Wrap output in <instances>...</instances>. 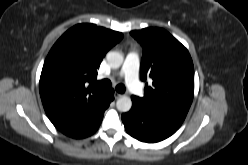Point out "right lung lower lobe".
<instances>
[{"mask_svg":"<svg viewBox=\"0 0 248 165\" xmlns=\"http://www.w3.org/2000/svg\"><path fill=\"white\" fill-rule=\"evenodd\" d=\"M114 99V90L108 89L107 98L105 101L88 117L82 121L61 129L60 131L72 138H84L92 135L100 126L104 111L109 107L111 101Z\"/></svg>","mask_w":248,"mask_h":165,"instance_id":"obj_1","label":"right lung lower lobe"}]
</instances>
